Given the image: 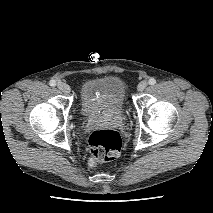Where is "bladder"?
Returning <instances> with one entry per match:
<instances>
[{
  "label": "bladder",
  "mask_w": 213,
  "mask_h": 213,
  "mask_svg": "<svg viewBox=\"0 0 213 213\" xmlns=\"http://www.w3.org/2000/svg\"><path fill=\"white\" fill-rule=\"evenodd\" d=\"M125 99L124 82L115 76L88 80L80 89V108L86 118L119 113Z\"/></svg>",
  "instance_id": "1"
}]
</instances>
